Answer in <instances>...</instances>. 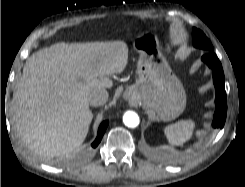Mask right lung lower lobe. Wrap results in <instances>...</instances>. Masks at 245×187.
Returning <instances> with one entry per match:
<instances>
[{
	"instance_id": "98d812e1",
	"label": "right lung lower lobe",
	"mask_w": 245,
	"mask_h": 187,
	"mask_svg": "<svg viewBox=\"0 0 245 187\" xmlns=\"http://www.w3.org/2000/svg\"><path fill=\"white\" fill-rule=\"evenodd\" d=\"M108 126V121H104L100 127H99V130H98V135H97V138L96 140L92 143V147L93 148H96L98 146V144L100 143L105 131H106V128Z\"/></svg>"
}]
</instances>
